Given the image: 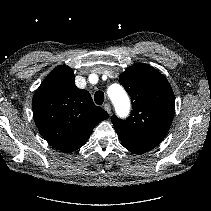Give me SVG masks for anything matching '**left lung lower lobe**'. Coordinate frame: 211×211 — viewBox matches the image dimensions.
<instances>
[{
    "label": "left lung lower lobe",
    "mask_w": 211,
    "mask_h": 211,
    "mask_svg": "<svg viewBox=\"0 0 211 211\" xmlns=\"http://www.w3.org/2000/svg\"><path fill=\"white\" fill-rule=\"evenodd\" d=\"M122 145L129 151L136 153V154H142L144 152L151 150V148L134 147V146H129V145H125V144H122Z\"/></svg>",
    "instance_id": "left-lung-lower-lobe-1"
}]
</instances>
